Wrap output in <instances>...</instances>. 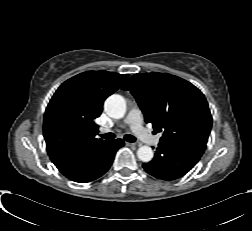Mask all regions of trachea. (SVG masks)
<instances>
[{"instance_id":"1","label":"trachea","mask_w":252,"mask_h":231,"mask_svg":"<svg viewBox=\"0 0 252 231\" xmlns=\"http://www.w3.org/2000/svg\"><path fill=\"white\" fill-rule=\"evenodd\" d=\"M100 136L102 138L106 139V140H112V139L115 138L114 133H111V132L110 133H105V134L100 135ZM124 140H126L127 142L132 143V142L136 141V138L134 136L130 135V134H127V135L124 136Z\"/></svg>"}]
</instances>
